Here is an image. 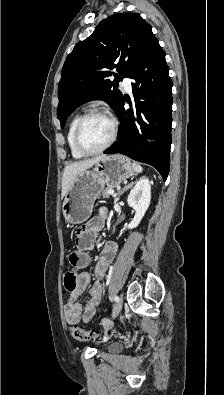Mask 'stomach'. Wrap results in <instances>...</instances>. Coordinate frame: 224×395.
I'll return each instance as SVG.
<instances>
[{"label": "stomach", "instance_id": "obj_1", "mask_svg": "<svg viewBox=\"0 0 224 395\" xmlns=\"http://www.w3.org/2000/svg\"><path fill=\"white\" fill-rule=\"evenodd\" d=\"M133 174L130 160L123 155L105 156L92 170L80 172L63 200L62 213L65 221L72 225L86 221L102 191L119 186Z\"/></svg>", "mask_w": 224, "mask_h": 395}]
</instances>
